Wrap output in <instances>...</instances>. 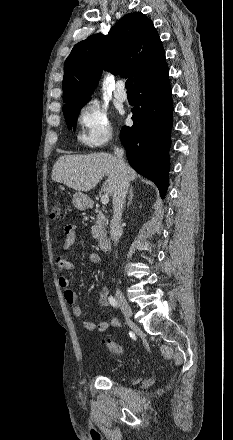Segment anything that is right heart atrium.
<instances>
[{"mask_svg": "<svg viewBox=\"0 0 233 440\" xmlns=\"http://www.w3.org/2000/svg\"><path fill=\"white\" fill-rule=\"evenodd\" d=\"M77 122L78 139L87 148L93 150L101 148L113 136L108 113L97 101H88L82 105Z\"/></svg>", "mask_w": 233, "mask_h": 440, "instance_id": "right-heart-atrium-1", "label": "right heart atrium"}]
</instances>
